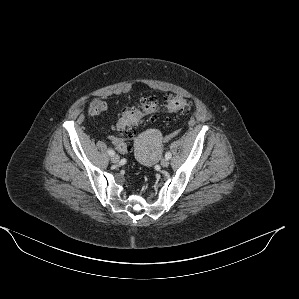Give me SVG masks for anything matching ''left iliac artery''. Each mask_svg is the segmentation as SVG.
Masks as SVG:
<instances>
[{
  "instance_id": "1",
  "label": "left iliac artery",
  "mask_w": 299,
  "mask_h": 299,
  "mask_svg": "<svg viewBox=\"0 0 299 299\" xmlns=\"http://www.w3.org/2000/svg\"><path fill=\"white\" fill-rule=\"evenodd\" d=\"M172 157V154L170 153V152H167L166 154H165V158L166 159H170Z\"/></svg>"
}]
</instances>
